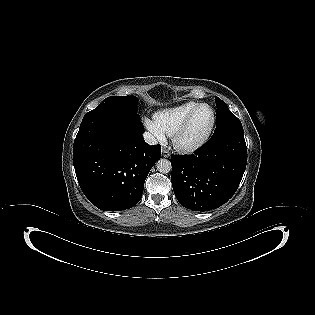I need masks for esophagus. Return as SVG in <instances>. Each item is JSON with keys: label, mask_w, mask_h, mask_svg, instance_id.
Wrapping results in <instances>:
<instances>
[{"label": "esophagus", "mask_w": 315, "mask_h": 315, "mask_svg": "<svg viewBox=\"0 0 315 315\" xmlns=\"http://www.w3.org/2000/svg\"><path fill=\"white\" fill-rule=\"evenodd\" d=\"M162 156L165 157V158H169L170 157V153L167 150L163 149L162 150Z\"/></svg>", "instance_id": "34e87169"}]
</instances>
